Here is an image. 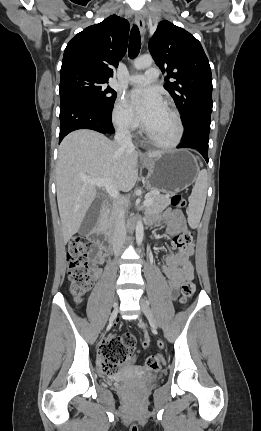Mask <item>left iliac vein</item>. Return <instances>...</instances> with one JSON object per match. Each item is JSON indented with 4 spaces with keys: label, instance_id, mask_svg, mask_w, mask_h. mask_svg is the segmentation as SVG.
<instances>
[{
    "label": "left iliac vein",
    "instance_id": "obj_1",
    "mask_svg": "<svg viewBox=\"0 0 261 431\" xmlns=\"http://www.w3.org/2000/svg\"><path fill=\"white\" fill-rule=\"evenodd\" d=\"M140 306H141V310L143 311V313L145 314V316L147 317V319L149 320V322L151 323V325L153 327H158L159 324L154 316L153 311L151 310L149 303L146 301L145 298H141L140 300Z\"/></svg>",
    "mask_w": 261,
    "mask_h": 431
}]
</instances>
